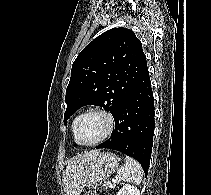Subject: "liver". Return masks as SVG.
I'll return each mask as SVG.
<instances>
[{
  "instance_id": "1",
  "label": "liver",
  "mask_w": 211,
  "mask_h": 195,
  "mask_svg": "<svg viewBox=\"0 0 211 195\" xmlns=\"http://www.w3.org/2000/svg\"><path fill=\"white\" fill-rule=\"evenodd\" d=\"M98 155L99 151L94 150L69 160L63 178L66 195L81 194L91 168V162Z\"/></svg>"
}]
</instances>
